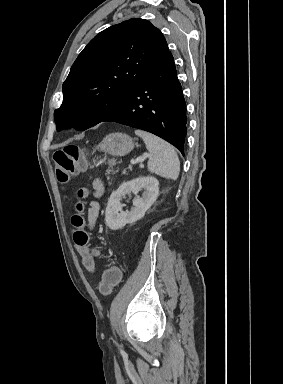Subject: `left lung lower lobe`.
<instances>
[{"instance_id": "obj_1", "label": "left lung lower lobe", "mask_w": 283, "mask_h": 384, "mask_svg": "<svg viewBox=\"0 0 283 384\" xmlns=\"http://www.w3.org/2000/svg\"><path fill=\"white\" fill-rule=\"evenodd\" d=\"M102 121L151 132L174 145L184 155L186 105L169 50L139 80L123 104Z\"/></svg>"}]
</instances>
